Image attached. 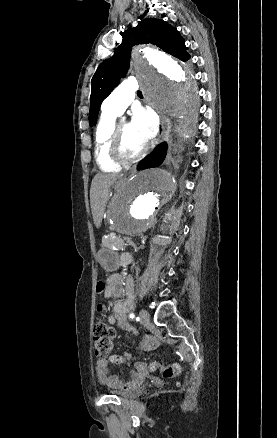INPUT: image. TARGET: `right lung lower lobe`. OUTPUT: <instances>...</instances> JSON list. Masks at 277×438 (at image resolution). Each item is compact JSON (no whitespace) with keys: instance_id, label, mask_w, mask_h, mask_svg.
Listing matches in <instances>:
<instances>
[{"instance_id":"98d812e1","label":"right lung lower lobe","mask_w":277,"mask_h":438,"mask_svg":"<svg viewBox=\"0 0 277 438\" xmlns=\"http://www.w3.org/2000/svg\"><path fill=\"white\" fill-rule=\"evenodd\" d=\"M166 151H167L166 143L159 145L155 149V151L148 156L144 165H142L141 167L152 168L159 166L163 162L166 156Z\"/></svg>"}]
</instances>
